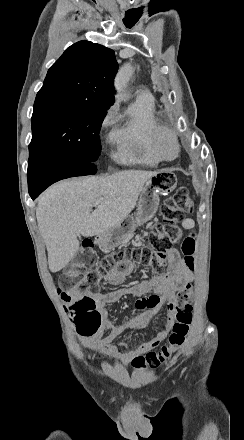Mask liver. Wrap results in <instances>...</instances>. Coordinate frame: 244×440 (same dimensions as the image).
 Masks as SVG:
<instances>
[{
    "instance_id": "1",
    "label": "liver",
    "mask_w": 244,
    "mask_h": 440,
    "mask_svg": "<svg viewBox=\"0 0 244 440\" xmlns=\"http://www.w3.org/2000/svg\"><path fill=\"white\" fill-rule=\"evenodd\" d=\"M155 174L126 170L108 178H69L45 190L38 198L36 218L50 272H60L74 258L80 234L86 238L99 236L128 218L145 182ZM97 200L101 202L92 212Z\"/></svg>"
}]
</instances>
